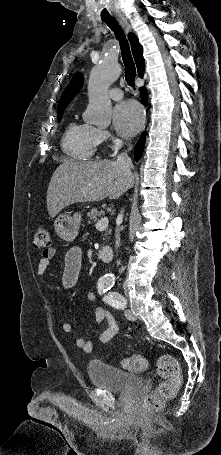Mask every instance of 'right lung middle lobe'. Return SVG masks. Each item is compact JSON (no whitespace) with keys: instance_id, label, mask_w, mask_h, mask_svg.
I'll list each match as a JSON object with an SVG mask.
<instances>
[{"instance_id":"1","label":"right lung middle lobe","mask_w":221,"mask_h":455,"mask_svg":"<svg viewBox=\"0 0 221 455\" xmlns=\"http://www.w3.org/2000/svg\"><path fill=\"white\" fill-rule=\"evenodd\" d=\"M63 111H64V108L58 110V120H59V121L61 120V117H62V115H63Z\"/></svg>"}]
</instances>
